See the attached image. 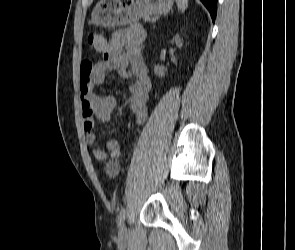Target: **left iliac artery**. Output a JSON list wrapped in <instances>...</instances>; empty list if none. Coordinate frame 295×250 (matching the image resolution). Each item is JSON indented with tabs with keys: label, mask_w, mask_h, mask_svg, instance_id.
<instances>
[{
	"label": "left iliac artery",
	"mask_w": 295,
	"mask_h": 250,
	"mask_svg": "<svg viewBox=\"0 0 295 250\" xmlns=\"http://www.w3.org/2000/svg\"><path fill=\"white\" fill-rule=\"evenodd\" d=\"M125 213H126V210H125V208L123 207V208L121 209V211H120L119 216H118V221H117L118 226H121L122 223L124 222V220H125Z\"/></svg>",
	"instance_id": "44dca946"
}]
</instances>
